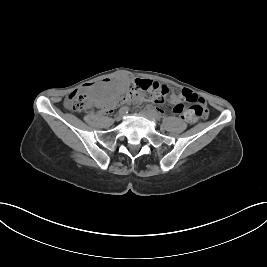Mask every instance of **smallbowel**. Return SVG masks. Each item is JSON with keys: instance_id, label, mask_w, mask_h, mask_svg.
<instances>
[{"instance_id": "small-bowel-1", "label": "small bowel", "mask_w": 267, "mask_h": 267, "mask_svg": "<svg viewBox=\"0 0 267 267\" xmlns=\"http://www.w3.org/2000/svg\"><path fill=\"white\" fill-rule=\"evenodd\" d=\"M115 96H116V93L114 91H109L105 96L95 97L90 107H96L99 109L101 113H106L108 112L105 108L106 103L110 101L111 99H113ZM182 99L183 98L181 94L171 93L169 101L173 105V108H174L177 105L183 106ZM184 119L188 121L189 123H194L197 121L195 119H189V118H184Z\"/></svg>"}]
</instances>
